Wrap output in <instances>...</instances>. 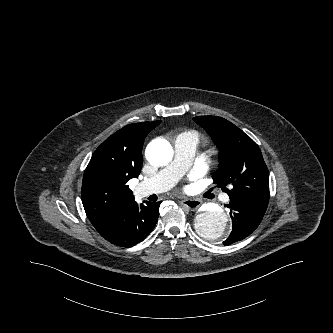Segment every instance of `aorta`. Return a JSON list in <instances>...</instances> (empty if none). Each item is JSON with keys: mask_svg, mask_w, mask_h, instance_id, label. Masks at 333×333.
Here are the masks:
<instances>
[{"mask_svg": "<svg viewBox=\"0 0 333 333\" xmlns=\"http://www.w3.org/2000/svg\"><path fill=\"white\" fill-rule=\"evenodd\" d=\"M145 154L152 165L162 166L172 160L173 149L167 141L156 139L148 144ZM195 227L202 237L219 242L228 236L230 222L222 208L205 204L196 214Z\"/></svg>", "mask_w": 333, "mask_h": 333, "instance_id": "aorta-1", "label": "aorta"}]
</instances>
